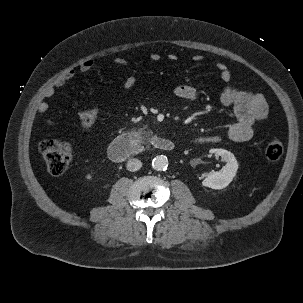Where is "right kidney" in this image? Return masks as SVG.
<instances>
[{
	"label": "right kidney",
	"mask_w": 303,
	"mask_h": 303,
	"mask_svg": "<svg viewBox=\"0 0 303 303\" xmlns=\"http://www.w3.org/2000/svg\"><path fill=\"white\" fill-rule=\"evenodd\" d=\"M86 179L91 180V179H92V175L88 174V175L86 176Z\"/></svg>",
	"instance_id": "right-kidney-1"
}]
</instances>
